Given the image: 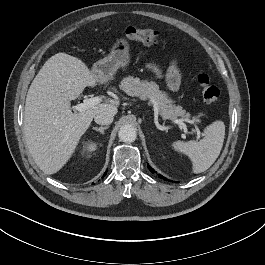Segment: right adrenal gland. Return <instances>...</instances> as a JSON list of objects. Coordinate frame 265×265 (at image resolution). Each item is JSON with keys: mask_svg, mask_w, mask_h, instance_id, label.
Masks as SVG:
<instances>
[{"mask_svg": "<svg viewBox=\"0 0 265 265\" xmlns=\"http://www.w3.org/2000/svg\"><path fill=\"white\" fill-rule=\"evenodd\" d=\"M109 126H104V127H93V130L100 132L101 134H104V130L108 129Z\"/></svg>", "mask_w": 265, "mask_h": 265, "instance_id": "obj_1", "label": "right adrenal gland"}]
</instances>
